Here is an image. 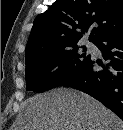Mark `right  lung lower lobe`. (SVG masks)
I'll return each instance as SVG.
<instances>
[{"label": "right lung lower lobe", "instance_id": "98d812e1", "mask_svg": "<svg viewBox=\"0 0 123 130\" xmlns=\"http://www.w3.org/2000/svg\"><path fill=\"white\" fill-rule=\"evenodd\" d=\"M94 44L107 62L102 64L90 56L61 85L91 95L123 119V26L105 33ZM96 64L102 69L97 70Z\"/></svg>", "mask_w": 123, "mask_h": 130}]
</instances>
